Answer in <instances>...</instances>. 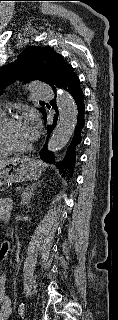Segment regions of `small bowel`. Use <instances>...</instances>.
<instances>
[{
  "instance_id": "1",
  "label": "small bowel",
  "mask_w": 118,
  "mask_h": 320,
  "mask_svg": "<svg viewBox=\"0 0 118 320\" xmlns=\"http://www.w3.org/2000/svg\"><path fill=\"white\" fill-rule=\"evenodd\" d=\"M11 208V200L9 198H0V217L7 215ZM8 250V245L3 244L0 247V253H5ZM7 275H0V320H8L11 314V302L6 294Z\"/></svg>"
}]
</instances>
